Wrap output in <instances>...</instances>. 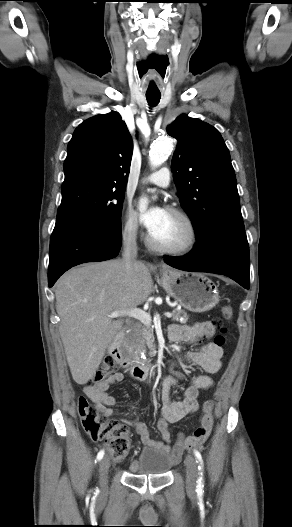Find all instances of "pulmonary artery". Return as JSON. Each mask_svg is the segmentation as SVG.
Listing matches in <instances>:
<instances>
[{
  "instance_id": "e3ab8cb5",
  "label": "pulmonary artery",
  "mask_w": 292,
  "mask_h": 527,
  "mask_svg": "<svg viewBox=\"0 0 292 527\" xmlns=\"http://www.w3.org/2000/svg\"><path fill=\"white\" fill-rule=\"evenodd\" d=\"M170 171L168 168H162L159 171L143 179V183L153 184L159 187H168L170 184Z\"/></svg>"
}]
</instances>
